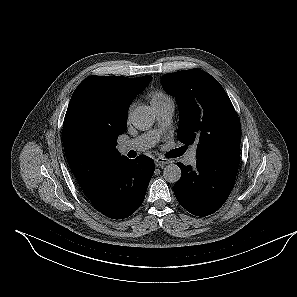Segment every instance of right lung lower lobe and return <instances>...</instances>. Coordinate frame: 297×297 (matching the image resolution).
<instances>
[{"mask_svg":"<svg viewBox=\"0 0 297 297\" xmlns=\"http://www.w3.org/2000/svg\"><path fill=\"white\" fill-rule=\"evenodd\" d=\"M154 169L153 160L147 156L136 159L122 156L111 164L94 193L87 198L103 215L112 219L127 218L142 204Z\"/></svg>","mask_w":297,"mask_h":297,"instance_id":"right-lung-lower-lobe-1","label":"right lung lower lobe"}]
</instances>
